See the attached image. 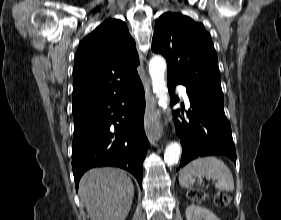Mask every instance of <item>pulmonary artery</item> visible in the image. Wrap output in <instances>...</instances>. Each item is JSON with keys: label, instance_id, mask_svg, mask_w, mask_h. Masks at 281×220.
<instances>
[{"label": "pulmonary artery", "instance_id": "obj_1", "mask_svg": "<svg viewBox=\"0 0 281 220\" xmlns=\"http://www.w3.org/2000/svg\"><path fill=\"white\" fill-rule=\"evenodd\" d=\"M178 92L181 94V96L183 97L184 101H185V104L187 107H190V101H189V98H188V95L186 93V90L184 87L182 86H179L177 88Z\"/></svg>", "mask_w": 281, "mask_h": 220}]
</instances>
